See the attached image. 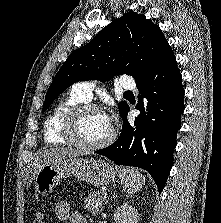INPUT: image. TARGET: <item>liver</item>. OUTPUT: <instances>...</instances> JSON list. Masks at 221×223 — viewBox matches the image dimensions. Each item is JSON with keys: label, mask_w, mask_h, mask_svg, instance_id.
Masks as SVG:
<instances>
[{"label": "liver", "mask_w": 221, "mask_h": 223, "mask_svg": "<svg viewBox=\"0 0 221 223\" xmlns=\"http://www.w3.org/2000/svg\"><path fill=\"white\" fill-rule=\"evenodd\" d=\"M80 150L74 148L56 147L39 152L35 159V167L38 172L43 166L52 164L60 159L74 158L81 155Z\"/></svg>", "instance_id": "obj_1"}]
</instances>
